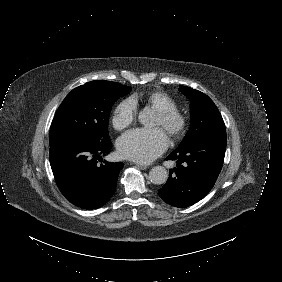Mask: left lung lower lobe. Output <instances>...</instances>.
Masks as SVG:
<instances>
[{
    "label": "left lung lower lobe",
    "mask_w": 282,
    "mask_h": 282,
    "mask_svg": "<svg viewBox=\"0 0 282 282\" xmlns=\"http://www.w3.org/2000/svg\"><path fill=\"white\" fill-rule=\"evenodd\" d=\"M226 149V132L198 137L167 160L177 159L166 184L158 190L168 204L185 208L204 198L213 188L221 171ZM183 163V165H182ZM174 172V174H173Z\"/></svg>",
    "instance_id": "left-lung-lower-lobe-1"
}]
</instances>
